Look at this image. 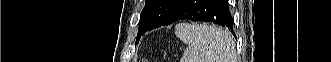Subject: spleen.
Here are the masks:
<instances>
[{"label": "spleen", "instance_id": "3e777b00", "mask_svg": "<svg viewBox=\"0 0 331 62\" xmlns=\"http://www.w3.org/2000/svg\"><path fill=\"white\" fill-rule=\"evenodd\" d=\"M176 36L188 47L181 62H236L233 36L227 30L206 24L181 23L175 26Z\"/></svg>", "mask_w": 331, "mask_h": 62}]
</instances>
